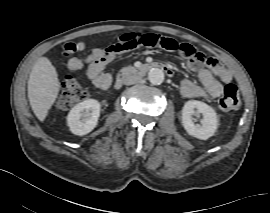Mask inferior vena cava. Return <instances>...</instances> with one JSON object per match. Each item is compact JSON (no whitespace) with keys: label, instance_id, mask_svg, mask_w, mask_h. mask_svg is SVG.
I'll return each mask as SVG.
<instances>
[{"label":"inferior vena cava","instance_id":"obj_1","mask_svg":"<svg viewBox=\"0 0 270 213\" xmlns=\"http://www.w3.org/2000/svg\"><path fill=\"white\" fill-rule=\"evenodd\" d=\"M142 81V78L138 75H129L124 79L125 85H132L136 83H140Z\"/></svg>","mask_w":270,"mask_h":213}]
</instances>
